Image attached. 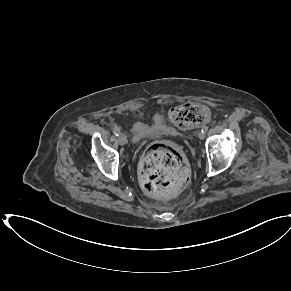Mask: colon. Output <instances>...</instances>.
I'll return each mask as SVG.
<instances>
[{
	"label": "colon",
	"mask_w": 291,
	"mask_h": 291,
	"mask_svg": "<svg viewBox=\"0 0 291 291\" xmlns=\"http://www.w3.org/2000/svg\"><path fill=\"white\" fill-rule=\"evenodd\" d=\"M208 108L200 103H187L171 108L169 120L179 128L199 126L209 119ZM188 173L185 159L170 143L152 146L140 163L139 180L151 196H167L178 192L186 183Z\"/></svg>",
	"instance_id": "5ec220e1"
}]
</instances>
